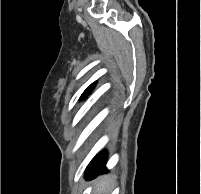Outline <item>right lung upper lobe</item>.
Listing matches in <instances>:
<instances>
[{"mask_svg": "<svg viewBox=\"0 0 201 194\" xmlns=\"http://www.w3.org/2000/svg\"><path fill=\"white\" fill-rule=\"evenodd\" d=\"M94 88V84H91L85 91L84 93L82 94L81 98H85L86 95H88L89 93H91L92 89Z\"/></svg>", "mask_w": 201, "mask_h": 194, "instance_id": "cb5924a9", "label": "right lung upper lobe"}]
</instances>
